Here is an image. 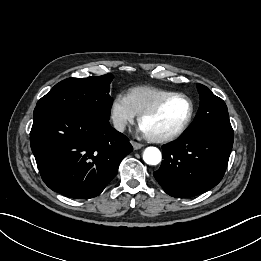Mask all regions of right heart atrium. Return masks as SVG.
Listing matches in <instances>:
<instances>
[{
	"label": "right heart atrium",
	"mask_w": 261,
	"mask_h": 261,
	"mask_svg": "<svg viewBox=\"0 0 261 261\" xmlns=\"http://www.w3.org/2000/svg\"><path fill=\"white\" fill-rule=\"evenodd\" d=\"M135 112L131 108L128 99L125 95L117 94L110 106V120L113 127L122 132L128 124L132 123L135 119Z\"/></svg>",
	"instance_id": "d8ad5b80"
}]
</instances>
